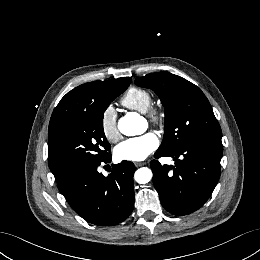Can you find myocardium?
<instances>
[{"mask_svg":"<svg viewBox=\"0 0 260 260\" xmlns=\"http://www.w3.org/2000/svg\"><path fill=\"white\" fill-rule=\"evenodd\" d=\"M148 120L154 126H161L164 120V113L163 110L156 105H151L148 110L145 112Z\"/></svg>","mask_w":260,"mask_h":260,"instance_id":"myocardium-1","label":"myocardium"}]
</instances>
